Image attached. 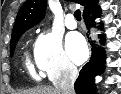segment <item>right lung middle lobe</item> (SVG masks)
<instances>
[{"mask_svg": "<svg viewBox=\"0 0 121 94\" xmlns=\"http://www.w3.org/2000/svg\"><path fill=\"white\" fill-rule=\"evenodd\" d=\"M24 32H21L15 36H13L11 38V42H10V55L12 56L13 55V52H14V49H15V46L19 40V38L21 37V35L23 34Z\"/></svg>", "mask_w": 121, "mask_h": 94, "instance_id": "dd1d6c3e", "label": "right lung middle lobe"}]
</instances>
